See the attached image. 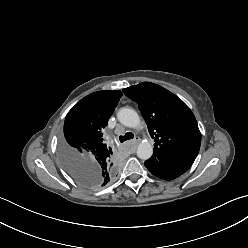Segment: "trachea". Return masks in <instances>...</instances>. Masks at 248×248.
Returning <instances> with one entry per match:
<instances>
[{
  "label": "trachea",
  "instance_id": "trachea-1",
  "mask_svg": "<svg viewBox=\"0 0 248 248\" xmlns=\"http://www.w3.org/2000/svg\"><path fill=\"white\" fill-rule=\"evenodd\" d=\"M134 138V134L132 132H127L125 135H121L119 137V141L123 143L126 140H130Z\"/></svg>",
  "mask_w": 248,
  "mask_h": 248
}]
</instances>
